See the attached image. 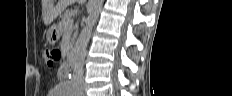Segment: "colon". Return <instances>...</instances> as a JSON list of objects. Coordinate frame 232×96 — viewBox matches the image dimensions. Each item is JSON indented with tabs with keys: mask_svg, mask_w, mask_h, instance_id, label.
<instances>
[{
	"mask_svg": "<svg viewBox=\"0 0 232 96\" xmlns=\"http://www.w3.org/2000/svg\"><path fill=\"white\" fill-rule=\"evenodd\" d=\"M60 51L58 49H48L45 52V57L50 65L56 64L60 60Z\"/></svg>",
	"mask_w": 232,
	"mask_h": 96,
	"instance_id": "colon-1",
	"label": "colon"
}]
</instances>
